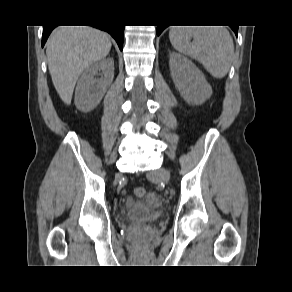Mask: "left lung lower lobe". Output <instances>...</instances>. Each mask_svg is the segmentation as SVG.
<instances>
[{
  "instance_id": "0a47b994",
  "label": "left lung lower lobe",
  "mask_w": 292,
  "mask_h": 292,
  "mask_svg": "<svg viewBox=\"0 0 292 292\" xmlns=\"http://www.w3.org/2000/svg\"><path fill=\"white\" fill-rule=\"evenodd\" d=\"M166 28V26H158L157 27V35H160V33ZM233 31L235 32L237 36L238 26L231 27Z\"/></svg>"
}]
</instances>
